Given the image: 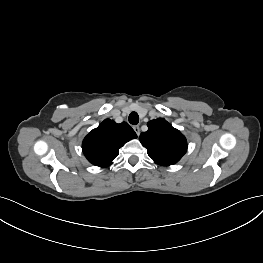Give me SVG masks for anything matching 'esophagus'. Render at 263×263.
<instances>
[{"mask_svg":"<svg viewBox=\"0 0 263 263\" xmlns=\"http://www.w3.org/2000/svg\"><path fill=\"white\" fill-rule=\"evenodd\" d=\"M134 131L139 136L140 135V127L138 125L133 126Z\"/></svg>","mask_w":263,"mask_h":263,"instance_id":"1","label":"esophagus"}]
</instances>
